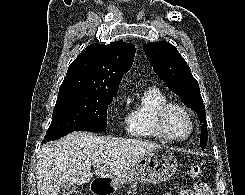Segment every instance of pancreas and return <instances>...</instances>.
Returning a JSON list of instances; mask_svg holds the SVG:
<instances>
[{
    "instance_id": "pancreas-1",
    "label": "pancreas",
    "mask_w": 245,
    "mask_h": 195,
    "mask_svg": "<svg viewBox=\"0 0 245 195\" xmlns=\"http://www.w3.org/2000/svg\"><path fill=\"white\" fill-rule=\"evenodd\" d=\"M128 194L136 195L138 191V183H133L129 188H125Z\"/></svg>"
}]
</instances>
